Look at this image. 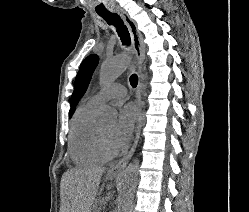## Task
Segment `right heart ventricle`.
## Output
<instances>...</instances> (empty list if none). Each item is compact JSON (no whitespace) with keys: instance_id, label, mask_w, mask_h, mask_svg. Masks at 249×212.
<instances>
[{"instance_id":"1","label":"right heart ventricle","mask_w":249,"mask_h":212,"mask_svg":"<svg viewBox=\"0 0 249 212\" xmlns=\"http://www.w3.org/2000/svg\"><path fill=\"white\" fill-rule=\"evenodd\" d=\"M97 108L98 106L90 101L83 103L71 120L68 149L70 158L76 165L91 166L105 161L96 139L95 112Z\"/></svg>"}]
</instances>
